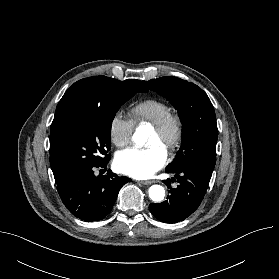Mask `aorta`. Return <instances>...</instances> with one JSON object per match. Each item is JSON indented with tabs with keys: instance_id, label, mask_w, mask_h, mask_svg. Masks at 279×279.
<instances>
[{
	"instance_id": "obj_1",
	"label": "aorta",
	"mask_w": 279,
	"mask_h": 279,
	"mask_svg": "<svg viewBox=\"0 0 279 279\" xmlns=\"http://www.w3.org/2000/svg\"><path fill=\"white\" fill-rule=\"evenodd\" d=\"M146 135L141 129H137L133 134V141L139 145L143 146L145 144ZM149 197L154 202H161L165 197V189L161 185H152L149 190Z\"/></svg>"
}]
</instances>
